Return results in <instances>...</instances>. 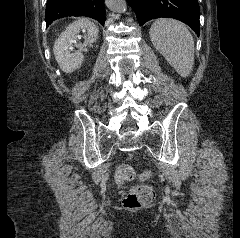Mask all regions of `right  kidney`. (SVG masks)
Returning a JSON list of instances; mask_svg holds the SVG:
<instances>
[{
  "mask_svg": "<svg viewBox=\"0 0 240 238\" xmlns=\"http://www.w3.org/2000/svg\"><path fill=\"white\" fill-rule=\"evenodd\" d=\"M80 31L85 33L83 44H78L77 39L80 38ZM98 27L88 19L82 18L71 23L54 44V55L60 68L65 73L75 71L82 64L84 56L82 51L84 48L96 41L98 37ZM73 44L78 48L73 51Z\"/></svg>",
  "mask_w": 240,
  "mask_h": 238,
  "instance_id": "ca27d5eb",
  "label": "right kidney"
}]
</instances>
